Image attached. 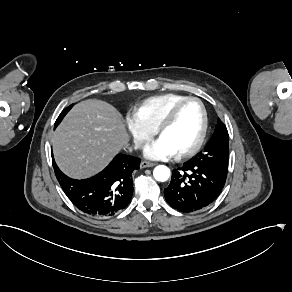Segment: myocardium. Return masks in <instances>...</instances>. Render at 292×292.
<instances>
[{
    "label": "myocardium",
    "instance_id": "obj_1",
    "mask_svg": "<svg viewBox=\"0 0 292 292\" xmlns=\"http://www.w3.org/2000/svg\"><path fill=\"white\" fill-rule=\"evenodd\" d=\"M196 102L200 108V112H201V121H200V128H199V132L198 135L195 139V141L187 148L178 151V154L180 156H187V155H191L193 153H195L202 145L205 135H206V130H207V112L205 109L204 104L202 103V101L196 97H185L182 98L180 100H178L177 102H175L173 105H171L167 111L164 113V115L162 116V118L160 119L157 127H156V132L159 136L162 135V132L164 131V129L172 122V120L174 119L176 113L178 112V110L180 109V107L187 103V102Z\"/></svg>",
    "mask_w": 292,
    "mask_h": 292
}]
</instances>
